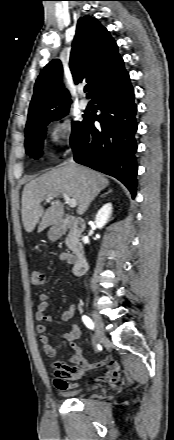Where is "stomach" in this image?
<instances>
[{
  "instance_id": "obj_1",
  "label": "stomach",
  "mask_w": 174,
  "mask_h": 440,
  "mask_svg": "<svg viewBox=\"0 0 174 440\" xmlns=\"http://www.w3.org/2000/svg\"><path fill=\"white\" fill-rule=\"evenodd\" d=\"M48 237L50 240H56L58 239L59 235L58 233L54 232L52 229L48 232Z\"/></svg>"
}]
</instances>
